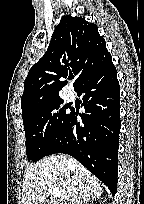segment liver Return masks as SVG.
I'll use <instances>...</instances> for the list:
<instances>
[{"label": "liver", "instance_id": "obj_1", "mask_svg": "<svg viewBox=\"0 0 144 204\" xmlns=\"http://www.w3.org/2000/svg\"><path fill=\"white\" fill-rule=\"evenodd\" d=\"M50 187L61 191L59 204H79L99 198L101 183L83 165L65 155H52L26 167L23 179V204L45 201Z\"/></svg>", "mask_w": 144, "mask_h": 204}]
</instances>
